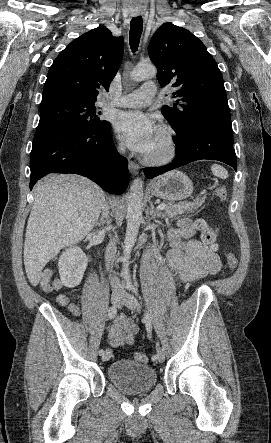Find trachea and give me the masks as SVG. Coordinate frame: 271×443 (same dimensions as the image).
Wrapping results in <instances>:
<instances>
[{
	"instance_id": "obj_1",
	"label": "trachea",
	"mask_w": 271,
	"mask_h": 443,
	"mask_svg": "<svg viewBox=\"0 0 271 443\" xmlns=\"http://www.w3.org/2000/svg\"><path fill=\"white\" fill-rule=\"evenodd\" d=\"M143 30L142 17L132 18L130 22L129 42L133 52H136L139 46V40Z\"/></svg>"
}]
</instances>
